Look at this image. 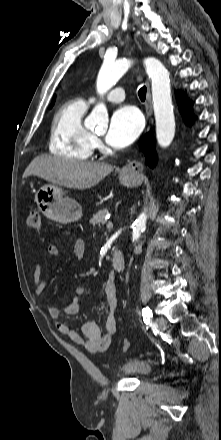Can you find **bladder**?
Instances as JSON below:
<instances>
[{
  "label": "bladder",
  "mask_w": 221,
  "mask_h": 440,
  "mask_svg": "<svg viewBox=\"0 0 221 440\" xmlns=\"http://www.w3.org/2000/svg\"><path fill=\"white\" fill-rule=\"evenodd\" d=\"M118 371L121 374L130 375L135 378H142L150 373L151 366L144 359L129 358L120 365Z\"/></svg>",
  "instance_id": "obj_1"
}]
</instances>
